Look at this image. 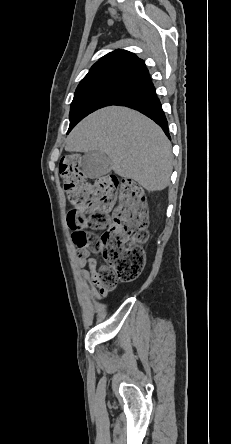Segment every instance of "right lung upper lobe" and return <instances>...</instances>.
<instances>
[{"instance_id":"1","label":"right lung upper lobe","mask_w":231,"mask_h":444,"mask_svg":"<svg viewBox=\"0 0 231 444\" xmlns=\"http://www.w3.org/2000/svg\"><path fill=\"white\" fill-rule=\"evenodd\" d=\"M151 82L142 59L126 50H115L96 62L77 89L114 84L131 91Z\"/></svg>"}]
</instances>
